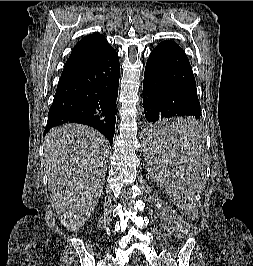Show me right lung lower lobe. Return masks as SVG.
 I'll return each mask as SVG.
<instances>
[{"instance_id": "obj_1", "label": "right lung lower lobe", "mask_w": 253, "mask_h": 266, "mask_svg": "<svg viewBox=\"0 0 253 266\" xmlns=\"http://www.w3.org/2000/svg\"><path fill=\"white\" fill-rule=\"evenodd\" d=\"M119 76V58L113 48L63 71L49 109L44 135L52 127L76 122L97 129L112 145Z\"/></svg>"}]
</instances>
